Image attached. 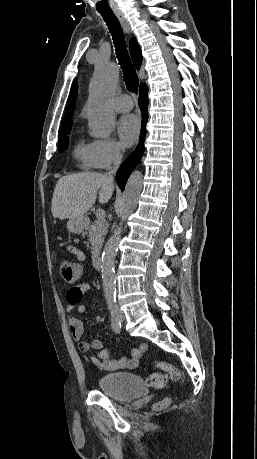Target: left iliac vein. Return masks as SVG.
<instances>
[{
  "label": "left iliac vein",
  "mask_w": 257,
  "mask_h": 459,
  "mask_svg": "<svg viewBox=\"0 0 257 459\" xmlns=\"http://www.w3.org/2000/svg\"><path fill=\"white\" fill-rule=\"evenodd\" d=\"M119 319H120V321H124V319H125V315H124L123 311H121V310H119Z\"/></svg>",
  "instance_id": "4c4485c4"
}]
</instances>
